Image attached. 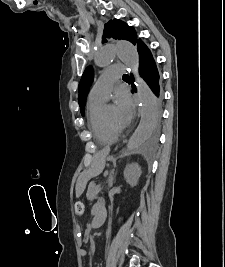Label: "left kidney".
Listing matches in <instances>:
<instances>
[{"instance_id":"5707ae66","label":"left kidney","mask_w":225,"mask_h":267,"mask_svg":"<svg viewBox=\"0 0 225 267\" xmlns=\"http://www.w3.org/2000/svg\"><path fill=\"white\" fill-rule=\"evenodd\" d=\"M141 173V167L137 163H132L126 166L124 178L130 186L134 187L138 184Z\"/></svg>"}]
</instances>
